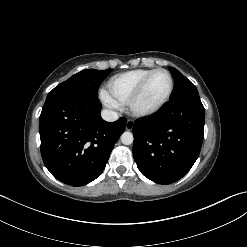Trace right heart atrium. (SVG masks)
<instances>
[{"label": "right heart atrium", "mask_w": 247, "mask_h": 247, "mask_svg": "<svg viewBox=\"0 0 247 247\" xmlns=\"http://www.w3.org/2000/svg\"><path fill=\"white\" fill-rule=\"evenodd\" d=\"M101 98L104 102V104L111 108V109H119L120 104L118 101H116L111 95H109L107 92L103 91L101 93Z\"/></svg>", "instance_id": "obj_1"}]
</instances>
